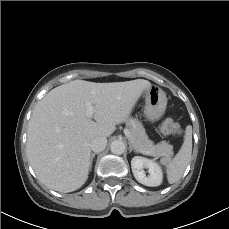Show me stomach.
<instances>
[{"mask_svg":"<svg viewBox=\"0 0 229 229\" xmlns=\"http://www.w3.org/2000/svg\"><path fill=\"white\" fill-rule=\"evenodd\" d=\"M145 99L144 116L146 120L155 122L159 120L167 106V98L165 92L156 85H151L143 91Z\"/></svg>","mask_w":229,"mask_h":229,"instance_id":"stomach-1","label":"stomach"}]
</instances>
